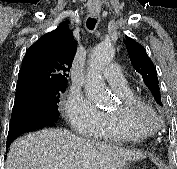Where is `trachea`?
I'll return each instance as SVG.
<instances>
[{"mask_svg": "<svg viewBox=\"0 0 177 169\" xmlns=\"http://www.w3.org/2000/svg\"><path fill=\"white\" fill-rule=\"evenodd\" d=\"M96 23H97V20H96L95 18L89 17V18L87 19V23H86L87 28H88L89 30H93L94 27H95V25H96Z\"/></svg>", "mask_w": 177, "mask_h": 169, "instance_id": "1", "label": "trachea"}]
</instances>
